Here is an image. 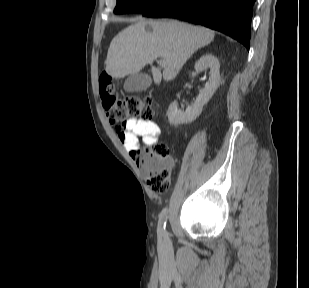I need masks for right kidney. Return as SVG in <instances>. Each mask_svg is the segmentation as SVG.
<instances>
[{"instance_id":"obj_1","label":"right kidney","mask_w":309,"mask_h":288,"mask_svg":"<svg viewBox=\"0 0 309 288\" xmlns=\"http://www.w3.org/2000/svg\"><path fill=\"white\" fill-rule=\"evenodd\" d=\"M210 68L209 81L205 87L199 91L194 103L186 108V111L178 109L177 102L170 104L167 116L169 122L174 125L187 124L193 122L202 112L203 106L208 103L215 93L220 81V63L218 59L212 54L203 55L196 63V72L203 68Z\"/></svg>"}]
</instances>
